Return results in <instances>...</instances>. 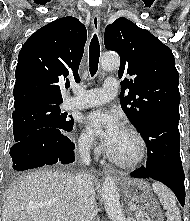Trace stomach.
Masks as SVG:
<instances>
[{
  "label": "stomach",
  "instance_id": "1",
  "mask_svg": "<svg viewBox=\"0 0 190 221\" xmlns=\"http://www.w3.org/2000/svg\"><path fill=\"white\" fill-rule=\"evenodd\" d=\"M119 184L128 199L140 204L145 212L150 213L152 216L159 217V205L147 181L123 177L120 178Z\"/></svg>",
  "mask_w": 190,
  "mask_h": 221
}]
</instances>
